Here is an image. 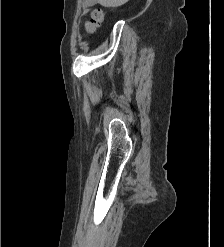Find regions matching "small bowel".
I'll return each mask as SVG.
<instances>
[{
    "mask_svg": "<svg viewBox=\"0 0 224 247\" xmlns=\"http://www.w3.org/2000/svg\"><path fill=\"white\" fill-rule=\"evenodd\" d=\"M83 4H84V9H83V14H86L87 12V8L91 5H94L95 3L98 2V0H83Z\"/></svg>",
    "mask_w": 224,
    "mask_h": 247,
    "instance_id": "small-bowel-1",
    "label": "small bowel"
}]
</instances>
